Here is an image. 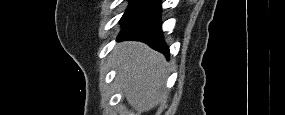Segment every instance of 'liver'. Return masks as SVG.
<instances>
[{"mask_svg":"<svg viewBox=\"0 0 285 115\" xmlns=\"http://www.w3.org/2000/svg\"><path fill=\"white\" fill-rule=\"evenodd\" d=\"M117 78L127 102L141 110H150L163 97L168 66L164 56L146 44L127 41L113 52Z\"/></svg>","mask_w":285,"mask_h":115,"instance_id":"liver-1","label":"liver"}]
</instances>
